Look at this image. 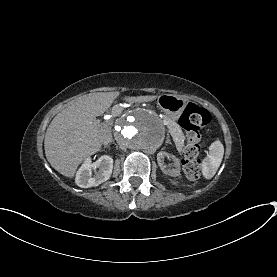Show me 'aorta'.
<instances>
[{"instance_id": "obj_1", "label": "aorta", "mask_w": 277, "mask_h": 277, "mask_svg": "<svg viewBox=\"0 0 277 277\" xmlns=\"http://www.w3.org/2000/svg\"><path fill=\"white\" fill-rule=\"evenodd\" d=\"M114 136L118 145L124 149L153 153L163 142L165 129L154 113L139 109L117 121Z\"/></svg>"}]
</instances>
